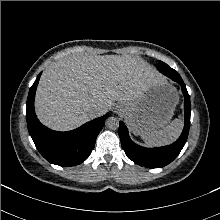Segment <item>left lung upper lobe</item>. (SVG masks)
Listing matches in <instances>:
<instances>
[{
	"instance_id": "obj_1",
	"label": "left lung upper lobe",
	"mask_w": 220,
	"mask_h": 220,
	"mask_svg": "<svg viewBox=\"0 0 220 220\" xmlns=\"http://www.w3.org/2000/svg\"><path fill=\"white\" fill-rule=\"evenodd\" d=\"M165 63L162 61H159L158 65H164Z\"/></svg>"
}]
</instances>
